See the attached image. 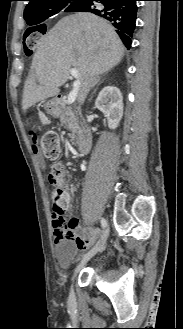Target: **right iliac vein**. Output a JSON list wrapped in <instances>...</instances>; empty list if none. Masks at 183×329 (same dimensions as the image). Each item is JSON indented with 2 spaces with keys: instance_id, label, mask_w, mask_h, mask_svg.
<instances>
[{
  "instance_id": "obj_1",
  "label": "right iliac vein",
  "mask_w": 183,
  "mask_h": 329,
  "mask_svg": "<svg viewBox=\"0 0 183 329\" xmlns=\"http://www.w3.org/2000/svg\"><path fill=\"white\" fill-rule=\"evenodd\" d=\"M109 236V228L107 227L101 238L99 239V241L97 242V244L88 252L86 253L82 260L80 261V263L78 264L77 268L75 269L74 272V277L76 276L77 272L81 269V267H83L92 257H94L98 252L102 251L105 247L107 238ZM74 277L72 280V284H71V288H70V294H69V299L72 302L75 298V294H74Z\"/></svg>"
}]
</instances>
